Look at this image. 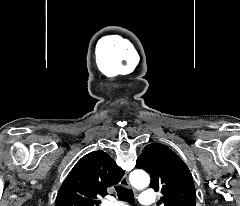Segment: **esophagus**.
Returning a JSON list of instances; mask_svg holds the SVG:
<instances>
[{"instance_id":"1","label":"esophagus","mask_w":240,"mask_h":206,"mask_svg":"<svg viewBox=\"0 0 240 206\" xmlns=\"http://www.w3.org/2000/svg\"><path fill=\"white\" fill-rule=\"evenodd\" d=\"M120 185L126 188H129V181L127 175H124L120 181Z\"/></svg>"}]
</instances>
